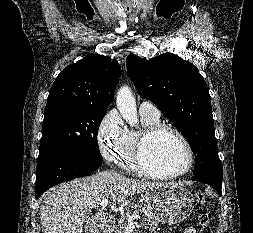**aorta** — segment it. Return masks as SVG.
I'll list each match as a JSON object with an SVG mask.
<instances>
[{"label": "aorta", "mask_w": 253, "mask_h": 233, "mask_svg": "<svg viewBox=\"0 0 253 233\" xmlns=\"http://www.w3.org/2000/svg\"><path fill=\"white\" fill-rule=\"evenodd\" d=\"M116 104L123 119L130 126L136 127L139 125L135 97L129 87L123 86L118 90Z\"/></svg>", "instance_id": "762f6f07"}]
</instances>
